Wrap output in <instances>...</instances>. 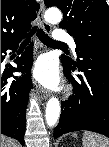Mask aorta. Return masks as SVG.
I'll use <instances>...</instances> for the list:
<instances>
[{"mask_svg": "<svg viewBox=\"0 0 109 147\" xmlns=\"http://www.w3.org/2000/svg\"><path fill=\"white\" fill-rule=\"evenodd\" d=\"M44 18L47 22L57 24L62 20V13L58 8L52 7L46 10ZM60 102L56 97L48 100L46 105V123L52 127L56 124L60 116Z\"/></svg>", "mask_w": 109, "mask_h": 147, "instance_id": "1", "label": "aorta"}]
</instances>
